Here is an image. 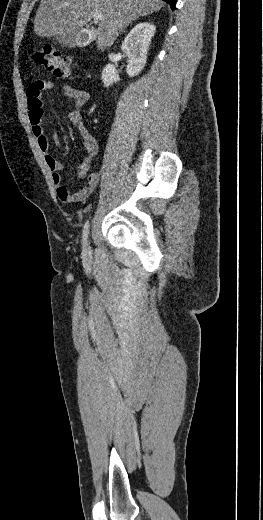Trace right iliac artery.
I'll return each instance as SVG.
<instances>
[{
	"mask_svg": "<svg viewBox=\"0 0 263 520\" xmlns=\"http://www.w3.org/2000/svg\"><path fill=\"white\" fill-rule=\"evenodd\" d=\"M88 234H89V222L87 221L83 227V245L86 246L87 245V237H88Z\"/></svg>",
	"mask_w": 263,
	"mask_h": 520,
	"instance_id": "obj_1",
	"label": "right iliac artery"
}]
</instances>
